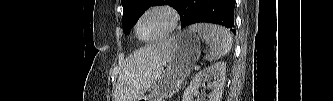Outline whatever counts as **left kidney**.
I'll return each instance as SVG.
<instances>
[{
  "label": "left kidney",
  "mask_w": 333,
  "mask_h": 101,
  "mask_svg": "<svg viewBox=\"0 0 333 101\" xmlns=\"http://www.w3.org/2000/svg\"><path fill=\"white\" fill-rule=\"evenodd\" d=\"M226 64L225 62H217L203 69L193 77L190 85L187 87L183 95V101H193V95L197 94L199 87H205V80L209 83L207 88L209 94L207 101H220L225 85ZM202 101V99H199Z\"/></svg>",
  "instance_id": "left-kidney-1"
}]
</instances>
